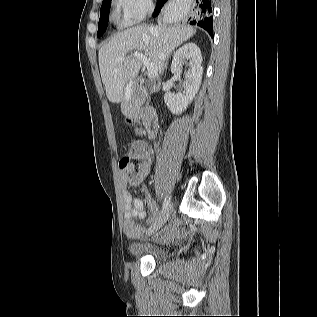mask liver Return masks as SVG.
Returning <instances> with one entry per match:
<instances>
[{
	"label": "liver",
	"mask_w": 317,
	"mask_h": 317,
	"mask_svg": "<svg viewBox=\"0 0 317 317\" xmlns=\"http://www.w3.org/2000/svg\"><path fill=\"white\" fill-rule=\"evenodd\" d=\"M195 33L196 29L191 26H135L112 37L98 54L100 74L109 101L122 102L126 96V86L133 83L141 69L139 59L126 57L129 52L144 51L161 74L166 58ZM121 57L125 59L120 61Z\"/></svg>",
	"instance_id": "liver-1"
}]
</instances>
